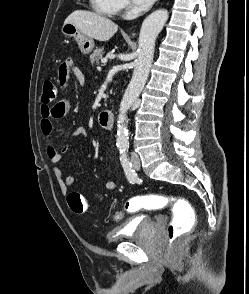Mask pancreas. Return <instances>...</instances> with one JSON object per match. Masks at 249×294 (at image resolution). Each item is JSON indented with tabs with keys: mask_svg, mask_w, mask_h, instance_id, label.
Returning a JSON list of instances; mask_svg holds the SVG:
<instances>
[{
	"mask_svg": "<svg viewBox=\"0 0 249 294\" xmlns=\"http://www.w3.org/2000/svg\"><path fill=\"white\" fill-rule=\"evenodd\" d=\"M103 55V49H96L93 51V53L90 55V61L92 64L95 62H99L100 59H102Z\"/></svg>",
	"mask_w": 249,
	"mask_h": 294,
	"instance_id": "pancreas-1",
	"label": "pancreas"
}]
</instances>
